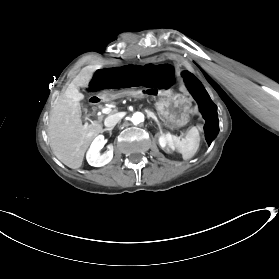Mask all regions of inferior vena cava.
I'll list each match as a JSON object with an SVG mask.
<instances>
[{"mask_svg":"<svg viewBox=\"0 0 279 279\" xmlns=\"http://www.w3.org/2000/svg\"><path fill=\"white\" fill-rule=\"evenodd\" d=\"M119 114H122V117L125 115L124 112L117 113L114 115L109 114V116L105 119V122H104L105 126L114 127L116 125V123L122 118V117H119Z\"/></svg>","mask_w":279,"mask_h":279,"instance_id":"602c4592","label":"inferior vena cava"}]
</instances>
